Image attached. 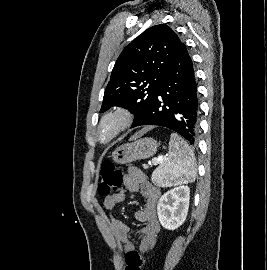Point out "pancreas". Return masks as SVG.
<instances>
[{
  "instance_id": "1",
  "label": "pancreas",
  "mask_w": 267,
  "mask_h": 270,
  "mask_svg": "<svg viewBox=\"0 0 267 270\" xmlns=\"http://www.w3.org/2000/svg\"><path fill=\"white\" fill-rule=\"evenodd\" d=\"M143 167L146 169L147 168V166L146 165H143Z\"/></svg>"
}]
</instances>
